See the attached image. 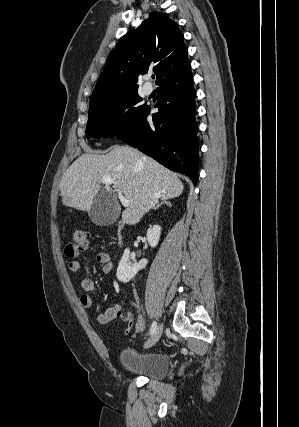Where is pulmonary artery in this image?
<instances>
[{
    "label": "pulmonary artery",
    "mask_w": 299,
    "mask_h": 427,
    "mask_svg": "<svg viewBox=\"0 0 299 427\" xmlns=\"http://www.w3.org/2000/svg\"><path fill=\"white\" fill-rule=\"evenodd\" d=\"M152 92H153V87L150 84L146 83L144 85V93L146 95H150Z\"/></svg>",
    "instance_id": "e3ab8cb5"
}]
</instances>
